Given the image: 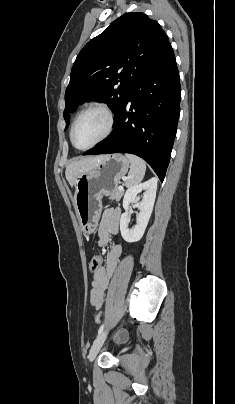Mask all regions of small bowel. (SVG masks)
Segmentation results:
<instances>
[{
	"label": "small bowel",
	"instance_id": "obj_1",
	"mask_svg": "<svg viewBox=\"0 0 235 404\" xmlns=\"http://www.w3.org/2000/svg\"><path fill=\"white\" fill-rule=\"evenodd\" d=\"M121 212L119 209L109 210L104 213L98 228L99 245L104 246L108 242V235H116L119 231ZM123 247L121 243L115 242L109 248L106 254L105 266L94 271L90 302L92 306L99 310L103 306L105 292L107 291L112 274L114 273Z\"/></svg>",
	"mask_w": 235,
	"mask_h": 404
}]
</instances>
